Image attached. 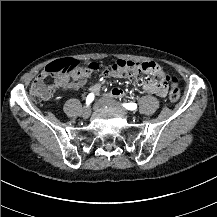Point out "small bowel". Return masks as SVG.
Segmentation results:
<instances>
[{
    "instance_id": "c3829d8e",
    "label": "small bowel",
    "mask_w": 217,
    "mask_h": 217,
    "mask_svg": "<svg viewBox=\"0 0 217 217\" xmlns=\"http://www.w3.org/2000/svg\"><path fill=\"white\" fill-rule=\"evenodd\" d=\"M92 75L95 77L113 78V79L124 78V76L121 73L105 71L104 67L100 66L99 63L96 62V60L89 59L86 62L85 68H79L77 69L76 73L71 75H61L59 77V84L66 83L71 78L76 80L75 87L81 88L84 85L85 81ZM145 88L157 96H164L166 91L163 87H156L150 81L145 83ZM109 95L114 98L123 97L126 95V91L122 88L115 87L109 91Z\"/></svg>"
}]
</instances>
